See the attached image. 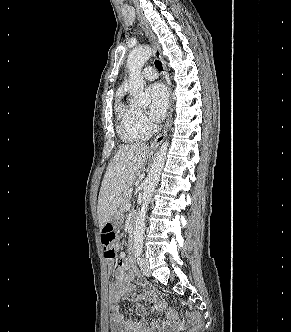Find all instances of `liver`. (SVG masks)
Here are the masks:
<instances>
[{"mask_svg": "<svg viewBox=\"0 0 291 332\" xmlns=\"http://www.w3.org/2000/svg\"><path fill=\"white\" fill-rule=\"evenodd\" d=\"M151 152L144 143L122 146L109 163L99 192L97 218L100 230L117 214L122 195L132 186Z\"/></svg>", "mask_w": 291, "mask_h": 332, "instance_id": "obj_1", "label": "liver"}]
</instances>
